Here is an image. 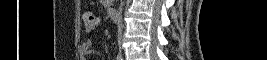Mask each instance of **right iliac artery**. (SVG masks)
<instances>
[{"mask_svg": "<svg viewBox=\"0 0 267 60\" xmlns=\"http://www.w3.org/2000/svg\"><path fill=\"white\" fill-rule=\"evenodd\" d=\"M117 60H123V58L121 56H117Z\"/></svg>", "mask_w": 267, "mask_h": 60, "instance_id": "82829eb1", "label": "right iliac artery"}]
</instances>
